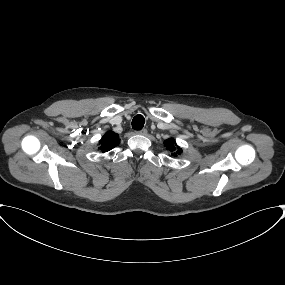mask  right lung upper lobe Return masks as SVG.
Returning a JSON list of instances; mask_svg holds the SVG:
<instances>
[{"mask_svg": "<svg viewBox=\"0 0 285 285\" xmlns=\"http://www.w3.org/2000/svg\"><path fill=\"white\" fill-rule=\"evenodd\" d=\"M120 143L118 134L108 131L104 134L102 139L99 141L100 147L103 152L110 151L112 148Z\"/></svg>", "mask_w": 285, "mask_h": 285, "instance_id": "right-lung-upper-lobe-1", "label": "right lung upper lobe"}]
</instances>
